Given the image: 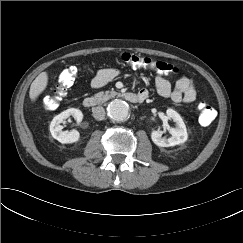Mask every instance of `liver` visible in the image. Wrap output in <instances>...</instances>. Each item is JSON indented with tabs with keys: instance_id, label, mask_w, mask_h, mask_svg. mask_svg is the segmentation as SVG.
Masks as SVG:
<instances>
[{
	"instance_id": "liver-1",
	"label": "liver",
	"mask_w": 243,
	"mask_h": 243,
	"mask_svg": "<svg viewBox=\"0 0 243 243\" xmlns=\"http://www.w3.org/2000/svg\"><path fill=\"white\" fill-rule=\"evenodd\" d=\"M48 84L47 72L40 73L32 82L29 91V97L32 102H35L38 96L46 89Z\"/></svg>"
}]
</instances>
